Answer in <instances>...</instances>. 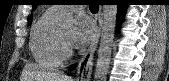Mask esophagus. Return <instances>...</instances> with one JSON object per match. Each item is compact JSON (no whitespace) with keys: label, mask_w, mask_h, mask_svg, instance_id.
<instances>
[{"label":"esophagus","mask_w":169,"mask_h":81,"mask_svg":"<svg viewBox=\"0 0 169 81\" xmlns=\"http://www.w3.org/2000/svg\"><path fill=\"white\" fill-rule=\"evenodd\" d=\"M101 16H102V11L100 9L97 14V24H98L97 34H96L94 40L92 41L90 47L83 54V56L79 62L77 81H88L91 77L96 46H97V43H98L100 36L102 34Z\"/></svg>","instance_id":"esophagus-1"}]
</instances>
